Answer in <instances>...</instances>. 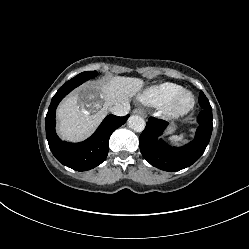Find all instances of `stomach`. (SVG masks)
Listing matches in <instances>:
<instances>
[{"label":"stomach","mask_w":249,"mask_h":249,"mask_svg":"<svg viewBox=\"0 0 249 249\" xmlns=\"http://www.w3.org/2000/svg\"><path fill=\"white\" fill-rule=\"evenodd\" d=\"M174 129H175V126H174L173 124H171V125L169 126V128H168L167 133H171V132H173V131H174Z\"/></svg>","instance_id":"obj_1"}]
</instances>
